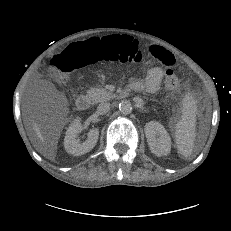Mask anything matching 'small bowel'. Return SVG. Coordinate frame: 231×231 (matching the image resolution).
I'll return each instance as SVG.
<instances>
[{
	"instance_id": "small-bowel-1",
	"label": "small bowel",
	"mask_w": 231,
	"mask_h": 231,
	"mask_svg": "<svg viewBox=\"0 0 231 231\" xmlns=\"http://www.w3.org/2000/svg\"><path fill=\"white\" fill-rule=\"evenodd\" d=\"M151 51L152 54L155 55L164 66H167L168 70H177L178 63L175 61L174 56L169 51L160 47H154ZM162 77L163 69L159 66H155L148 70L145 79L135 80L132 86L136 90L146 91L148 93H156L160 88Z\"/></svg>"
}]
</instances>
